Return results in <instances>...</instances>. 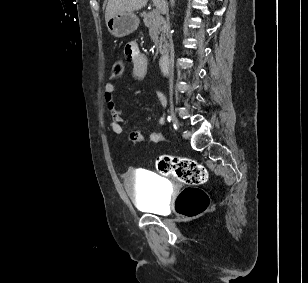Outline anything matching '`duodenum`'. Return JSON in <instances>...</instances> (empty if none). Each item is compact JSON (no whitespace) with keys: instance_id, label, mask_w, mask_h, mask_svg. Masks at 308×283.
<instances>
[{"instance_id":"410a0bca","label":"duodenum","mask_w":308,"mask_h":283,"mask_svg":"<svg viewBox=\"0 0 308 283\" xmlns=\"http://www.w3.org/2000/svg\"><path fill=\"white\" fill-rule=\"evenodd\" d=\"M161 71L164 74H167L169 71V54L168 52H164L159 60Z\"/></svg>"}]
</instances>
